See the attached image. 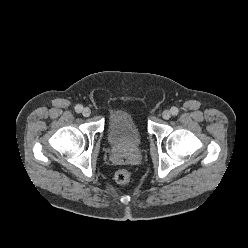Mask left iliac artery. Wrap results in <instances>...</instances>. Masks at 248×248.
Here are the masks:
<instances>
[{
  "label": "left iliac artery",
  "mask_w": 248,
  "mask_h": 248,
  "mask_svg": "<svg viewBox=\"0 0 248 248\" xmlns=\"http://www.w3.org/2000/svg\"><path fill=\"white\" fill-rule=\"evenodd\" d=\"M178 112H179V110H178V108L177 107H172L171 108V113H172V115H177L178 114Z\"/></svg>",
  "instance_id": "obj_1"
}]
</instances>
